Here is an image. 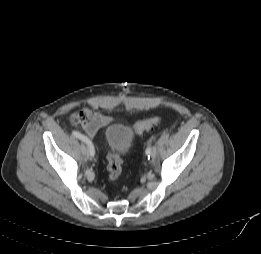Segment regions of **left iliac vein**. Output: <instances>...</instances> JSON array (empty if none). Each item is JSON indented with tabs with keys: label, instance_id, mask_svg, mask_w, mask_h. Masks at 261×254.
<instances>
[{
	"label": "left iliac vein",
	"instance_id": "1",
	"mask_svg": "<svg viewBox=\"0 0 261 254\" xmlns=\"http://www.w3.org/2000/svg\"><path fill=\"white\" fill-rule=\"evenodd\" d=\"M155 157H156V149H154L152 152V158H155Z\"/></svg>",
	"mask_w": 261,
	"mask_h": 254
}]
</instances>
